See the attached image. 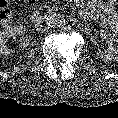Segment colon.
<instances>
[{
  "instance_id": "1",
  "label": "colon",
  "mask_w": 118,
  "mask_h": 118,
  "mask_svg": "<svg viewBox=\"0 0 118 118\" xmlns=\"http://www.w3.org/2000/svg\"><path fill=\"white\" fill-rule=\"evenodd\" d=\"M30 3L36 2V0H27ZM12 12L9 8L6 0H0V25L8 24L11 21Z\"/></svg>"
}]
</instances>
